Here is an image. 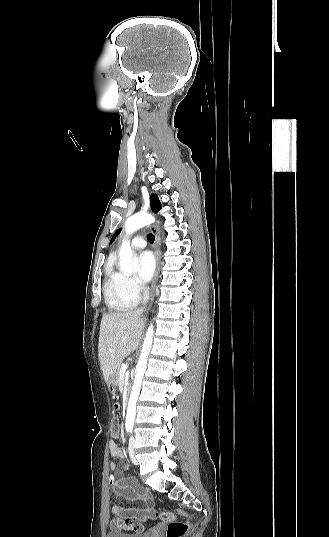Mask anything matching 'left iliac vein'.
<instances>
[{
    "instance_id": "obj_1",
    "label": "left iliac vein",
    "mask_w": 329,
    "mask_h": 537,
    "mask_svg": "<svg viewBox=\"0 0 329 537\" xmlns=\"http://www.w3.org/2000/svg\"><path fill=\"white\" fill-rule=\"evenodd\" d=\"M128 450H129V454H130L132 462L134 464H138V461L134 456V438L133 437H131L130 440H129Z\"/></svg>"
}]
</instances>
